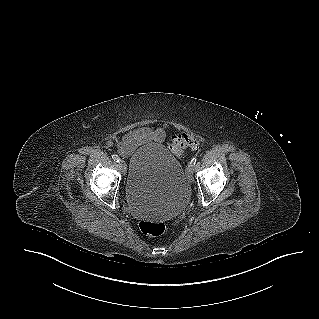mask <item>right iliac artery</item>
<instances>
[{
	"label": "right iliac artery",
	"mask_w": 319,
	"mask_h": 319,
	"mask_svg": "<svg viewBox=\"0 0 319 319\" xmlns=\"http://www.w3.org/2000/svg\"><path fill=\"white\" fill-rule=\"evenodd\" d=\"M112 159H113L114 161L118 162V163H119V161L121 160V159L119 158V156L116 155V154H113V155H112Z\"/></svg>",
	"instance_id": "obj_1"
}]
</instances>
